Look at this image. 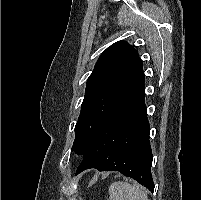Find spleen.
<instances>
[{"mask_svg":"<svg viewBox=\"0 0 201 200\" xmlns=\"http://www.w3.org/2000/svg\"><path fill=\"white\" fill-rule=\"evenodd\" d=\"M110 200H148L145 190L136 184L118 181L109 186Z\"/></svg>","mask_w":201,"mask_h":200,"instance_id":"obj_1","label":"spleen"}]
</instances>
